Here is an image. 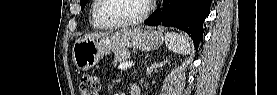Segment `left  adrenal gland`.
Here are the masks:
<instances>
[{"label": "left adrenal gland", "mask_w": 277, "mask_h": 95, "mask_svg": "<svg viewBox=\"0 0 277 95\" xmlns=\"http://www.w3.org/2000/svg\"><path fill=\"white\" fill-rule=\"evenodd\" d=\"M166 62H167V60L164 61V62H161L160 64L154 63V64L152 65V69H153V68H157V67H159V66H162V65L165 64Z\"/></svg>", "instance_id": "1"}]
</instances>
